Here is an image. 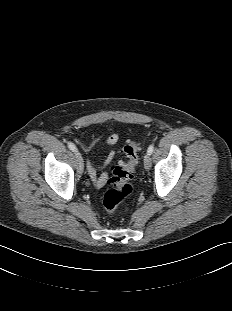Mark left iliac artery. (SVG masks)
<instances>
[{
  "mask_svg": "<svg viewBox=\"0 0 232 311\" xmlns=\"http://www.w3.org/2000/svg\"><path fill=\"white\" fill-rule=\"evenodd\" d=\"M153 150H154V144H151V145L148 147L147 152L151 155L152 152H153Z\"/></svg>",
  "mask_w": 232,
  "mask_h": 311,
  "instance_id": "left-iliac-artery-1",
  "label": "left iliac artery"
}]
</instances>
